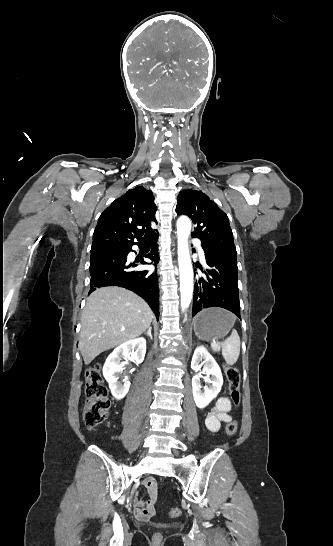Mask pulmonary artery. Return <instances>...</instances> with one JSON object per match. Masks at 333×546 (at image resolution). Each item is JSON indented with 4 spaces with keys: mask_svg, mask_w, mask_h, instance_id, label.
Wrapping results in <instances>:
<instances>
[{
    "mask_svg": "<svg viewBox=\"0 0 333 546\" xmlns=\"http://www.w3.org/2000/svg\"><path fill=\"white\" fill-rule=\"evenodd\" d=\"M195 243H196V245H197L198 253H199L201 259L204 260L205 258H204V251H203V249L201 248L200 244H199L197 241H195Z\"/></svg>",
    "mask_w": 333,
    "mask_h": 546,
    "instance_id": "1",
    "label": "pulmonary artery"
}]
</instances>
